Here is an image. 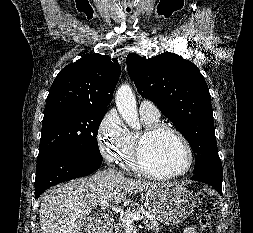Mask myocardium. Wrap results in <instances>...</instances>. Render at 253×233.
Segmentation results:
<instances>
[{
	"mask_svg": "<svg viewBox=\"0 0 253 233\" xmlns=\"http://www.w3.org/2000/svg\"><path fill=\"white\" fill-rule=\"evenodd\" d=\"M162 132H169L173 134L184 145L187 152V164L183 170L178 172L162 173L154 172L146 166L144 161L145 148L150 140H152L155 136ZM134 163L137 170L147 177L156 179L178 178L186 175L191 170L194 163V151L190 142L180 130L165 123H157L155 125L146 127V129L142 133H140L134 151Z\"/></svg>",
	"mask_w": 253,
	"mask_h": 233,
	"instance_id": "obj_1",
	"label": "myocardium"
}]
</instances>
